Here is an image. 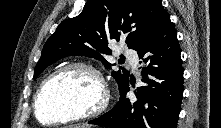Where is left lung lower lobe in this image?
Masks as SVG:
<instances>
[{"instance_id": "1", "label": "left lung lower lobe", "mask_w": 221, "mask_h": 128, "mask_svg": "<svg viewBox=\"0 0 221 128\" xmlns=\"http://www.w3.org/2000/svg\"><path fill=\"white\" fill-rule=\"evenodd\" d=\"M143 60L144 86L137 100L126 98L129 81L120 90L119 102L89 124L111 128H176L183 97V68L177 32L169 14L136 50ZM141 63V62H140Z\"/></svg>"}]
</instances>
